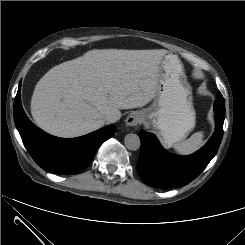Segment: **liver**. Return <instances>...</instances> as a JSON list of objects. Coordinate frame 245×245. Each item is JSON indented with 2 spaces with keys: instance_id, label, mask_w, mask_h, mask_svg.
<instances>
[{
  "instance_id": "1",
  "label": "liver",
  "mask_w": 245,
  "mask_h": 245,
  "mask_svg": "<svg viewBox=\"0 0 245 245\" xmlns=\"http://www.w3.org/2000/svg\"><path fill=\"white\" fill-rule=\"evenodd\" d=\"M166 53L94 49L56 65L35 86L32 117L41 129L59 137L93 132L104 126L107 113L140 108L155 98Z\"/></svg>"
}]
</instances>
